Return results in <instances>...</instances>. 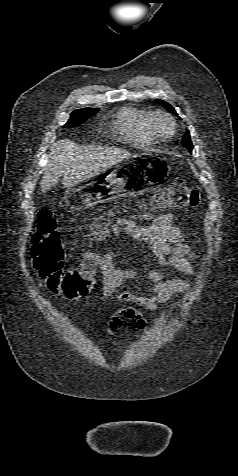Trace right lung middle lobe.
Here are the masks:
<instances>
[{
	"label": "right lung middle lobe",
	"mask_w": 238,
	"mask_h": 476,
	"mask_svg": "<svg viewBox=\"0 0 238 476\" xmlns=\"http://www.w3.org/2000/svg\"><path fill=\"white\" fill-rule=\"evenodd\" d=\"M99 109L94 108H83L75 110L69 119V121L64 125V127H73L83 123L89 117L93 116Z\"/></svg>",
	"instance_id": "right-lung-middle-lobe-1"
}]
</instances>
